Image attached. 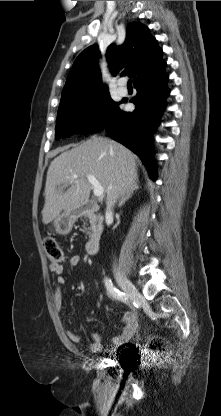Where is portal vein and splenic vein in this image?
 <instances>
[{
	"label": "portal vein and splenic vein",
	"mask_w": 221,
	"mask_h": 416,
	"mask_svg": "<svg viewBox=\"0 0 221 416\" xmlns=\"http://www.w3.org/2000/svg\"><path fill=\"white\" fill-rule=\"evenodd\" d=\"M78 176L77 175H73L72 178L76 179ZM88 182L92 185L93 187V193L96 197H102L103 193H104V189L103 187L100 185V183L98 182V180L96 179V177L94 175L88 174L86 176Z\"/></svg>",
	"instance_id": "portal-vein-and-splenic-vein-1"
}]
</instances>
